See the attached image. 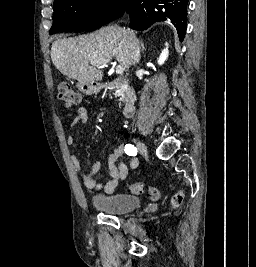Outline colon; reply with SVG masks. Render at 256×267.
<instances>
[{
  "label": "colon",
  "mask_w": 256,
  "mask_h": 267,
  "mask_svg": "<svg viewBox=\"0 0 256 267\" xmlns=\"http://www.w3.org/2000/svg\"><path fill=\"white\" fill-rule=\"evenodd\" d=\"M57 97L67 106H75L81 103L82 96L76 91L75 87L70 83L61 82L57 86ZM147 191L148 195L152 198L151 201H156L158 192L155 188L148 186L143 182H133L129 185V192L135 195L142 194ZM185 193L182 190H178L172 197V205L174 209H177L184 200Z\"/></svg>",
  "instance_id": "obj_1"
}]
</instances>
